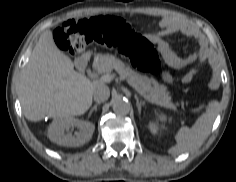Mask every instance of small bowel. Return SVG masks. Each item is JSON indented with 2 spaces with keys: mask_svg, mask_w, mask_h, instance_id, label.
<instances>
[{
  "mask_svg": "<svg viewBox=\"0 0 236 182\" xmlns=\"http://www.w3.org/2000/svg\"><path fill=\"white\" fill-rule=\"evenodd\" d=\"M160 29L144 35V37L153 45H155L162 55L165 62L174 69H181L185 66L195 64L182 78L181 82L190 83L195 76L198 67L203 64L206 59L205 45L201 44L199 49L185 57H180L171 49L169 43L164 39L166 36L182 33L188 37H197V32L186 22L181 19L167 16L160 20Z\"/></svg>",
  "mask_w": 236,
  "mask_h": 182,
  "instance_id": "1",
  "label": "small bowel"
}]
</instances>
